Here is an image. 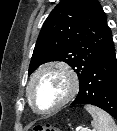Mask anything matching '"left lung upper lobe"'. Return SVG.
<instances>
[{
	"label": "left lung upper lobe",
	"instance_id": "1",
	"mask_svg": "<svg viewBox=\"0 0 117 131\" xmlns=\"http://www.w3.org/2000/svg\"><path fill=\"white\" fill-rule=\"evenodd\" d=\"M111 37L98 0H61L41 28L28 74L46 62L63 61L77 73L80 84Z\"/></svg>",
	"mask_w": 117,
	"mask_h": 131
}]
</instances>
